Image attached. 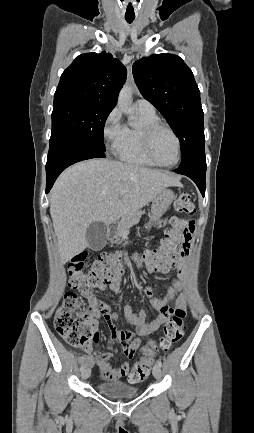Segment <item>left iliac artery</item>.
I'll return each mask as SVG.
<instances>
[{
	"label": "left iliac artery",
	"instance_id": "left-iliac-artery-1",
	"mask_svg": "<svg viewBox=\"0 0 254 433\" xmlns=\"http://www.w3.org/2000/svg\"><path fill=\"white\" fill-rule=\"evenodd\" d=\"M157 364L161 367L162 366V361L160 359L157 360Z\"/></svg>",
	"mask_w": 254,
	"mask_h": 433
}]
</instances>
